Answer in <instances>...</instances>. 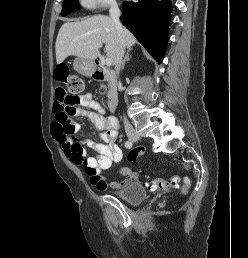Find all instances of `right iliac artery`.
<instances>
[{"label":"right iliac artery","instance_id":"obj_1","mask_svg":"<svg viewBox=\"0 0 248 258\" xmlns=\"http://www.w3.org/2000/svg\"><path fill=\"white\" fill-rule=\"evenodd\" d=\"M132 145H133V142H132V141H126V142H125V147H126V148H131Z\"/></svg>","mask_w":248,"mask_h":258}]
</instances>
